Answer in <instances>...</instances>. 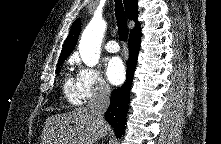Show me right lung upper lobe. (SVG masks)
Here are the masks:
<instances>
[{"mask_svg": "<svg viewBox=\"0 0 221 144\" xmlns=\"http://www.w3.org/2000/svg\"><path fill=\"white\" fill-rule=\"evenodd\" d=\"M124 5H125L127 17L135 21V27L130 32V34H132L141 29L140 24L137 21V14H138L137 0H124ZM80 29H81V21L80 19H76V21L72 25L69 35L67 36V39L61 51L58 63L64 62V60L68 57V55L73 50L78 40Z\"/></svg>", "mask_w": 221, "mask_h": 144, "instance_id": "1", "label": "right lung upper lobe"}]
</instances>
